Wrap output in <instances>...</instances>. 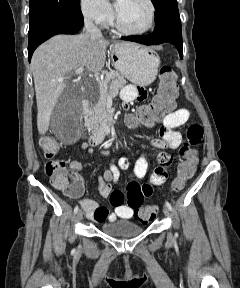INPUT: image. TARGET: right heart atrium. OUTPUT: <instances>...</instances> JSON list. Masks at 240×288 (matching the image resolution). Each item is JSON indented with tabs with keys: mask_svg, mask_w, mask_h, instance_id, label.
<instances>
[{
	"mask_svg": "<svg viewBox=\"0 0 240 288\" xmlns=\"http://www.w3.org/2000/svg\"><path fill=\"white\" fill-rule=\"evenodd\" d=\"M80 8L84 17L97 24L108 23L113 11L106 0H80Z\"/></svg>",
	"mask_w": 240,
	"mask_h": 288,
	"instance_id": "d8ad5b80",
	"label": "right heart atrium"
}]
</instances>
